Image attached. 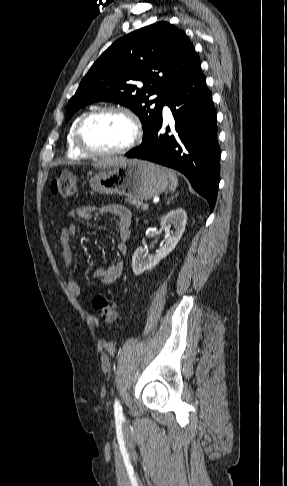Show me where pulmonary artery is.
Segmentation results:
<instances>
[{
  "label": "pulmonary artery",
  "mask_w": 287,
  "mask_h": 486,
  "mask_svg": "<svg viewBox=\"0 0 287 486\" xmlns=\"http://www.w3.org/2000/svg\"><path fill=\"white\" fill-rule=\"evenodd\" d=\"M164 114L167 118H170V110L167 106L164 107Z\"/></svg>",
  "instance_id": "pulmonary-artery-1"
}]
</instances>
